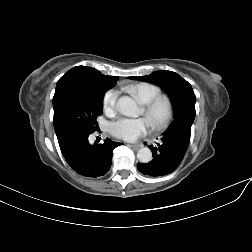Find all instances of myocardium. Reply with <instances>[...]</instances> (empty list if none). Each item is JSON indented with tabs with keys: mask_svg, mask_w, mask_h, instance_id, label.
<instances>
[{
	"mask_svg": "<svg viewBox=\"0 0 252 252\" xmlns=\"http://www.w3.org/2000/svg\"><path fill=\"white\" fill-rule=\"evenodd\" d=\"M160 106L164 108L163 116L160 120L154 121V114ZM143 114L149 120V126L153 131H164L168 128L174 116L173 100L167 95L160 94L150 102L144 104Z\"/></svg>",
	"mask_w": 252,
	"mask_h": 252,
	"instance_id": "f54148a6",
	"label": "myocardium"
}]
</instances>
